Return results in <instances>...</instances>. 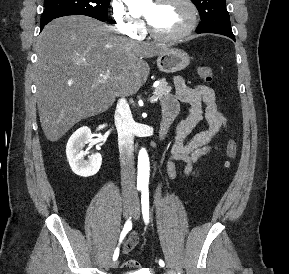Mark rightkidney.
<instances>
[{"label":"right kidney","instance_id":"right-kidney-1","mask_svg":"<svg viewBox=\"0 0 289 274\" xmlns=\"http://www.w3.org/2000/svg\"><path fill=\"white\" fill-rule=\"evenodd\" d=\"M92 134L87 126L77 129L69 138L66 146V155L72 171L82 177L95 175L102 163V156L99 153L88 156V152L83 148L86 143L91 142Z\"/></svg>","mask_w":289,"mask_h":274}]
</instances>
